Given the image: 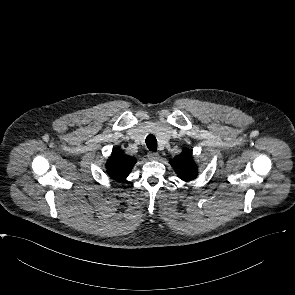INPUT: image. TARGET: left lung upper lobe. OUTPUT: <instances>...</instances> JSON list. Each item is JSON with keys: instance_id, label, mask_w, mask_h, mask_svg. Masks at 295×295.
I'll list each match as a JSON object with an SVG mask.
<instances>
[{"instance_id": "obj_1", "label": "left lung upper lobe", "mask_w": 295, "mask_h": 295, "mask_svg": "<svg viewBox=\"0 0 295 295\" xmlns=\"http://www.w3.org/2000/svg\"><path fill=\"white\" fill-rule=\"evenodd\" d=\"M170 164L178 174L179 178L184 181H190L197 175V167L193 162L189 150H184L181 155L171 159Z\"/></svg>"}]
</instances>
